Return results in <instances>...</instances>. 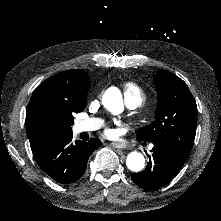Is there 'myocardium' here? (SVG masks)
Wrapping results in <instances>:
<instances>
[{"instance_id":"f54148a6","label":"myocardium","mask_w":221,"mask_h":221,"mask_svg":"<svg viewBox=\"0 0 221 221\" xmlns=\"http://www.w3.org/2000/svg\"><path fill=\"white\" fill-rule=\"evenodd\" d=\"M150 123V121H147V124H149Z\"/></svg>"}]
</instances>
